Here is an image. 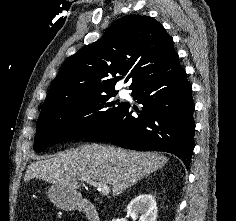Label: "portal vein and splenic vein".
<instances>
[{"mask_svg": "<svg viewBox=\"0 0 236 221\" xmlns=\"http://www.w3.org/2000/svg\"><path fill=\"white\" fill-rule=\"evenodd\" d=\"M79 180L84 181L92 186L98 187L102 193V195L107 196L110 193V186L100 183V182H96L94 180H91L89 178H85V177H81L79 178Z\"/></svg>", "mask_w": 236, "mask_h": 221, "instance_id": "obj_1", "label": "portal vein and splenic vein"}]
</instances>
